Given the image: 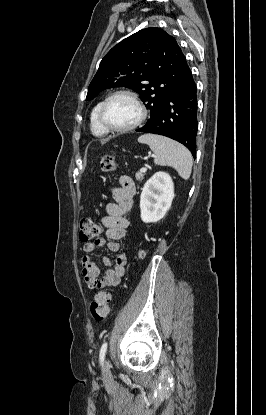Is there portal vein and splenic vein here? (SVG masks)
<instances>
[{
  "label": "portal vein and splenic vein",
  "mask_w": 266,
  "mask_h": 415,
  "mask_svg": "<svg viewBox=\"0 0 266 415\" xmlns=\"http://www.w3.org/2000/svg\"><path fill=\"white\" fill-rule=\"evenodd\" d=\"M147 171V166L146 167H142L141 169H140V172H146Z\"/></svg>",
  "instance_id": "18ae733b"
}]
</instances>
